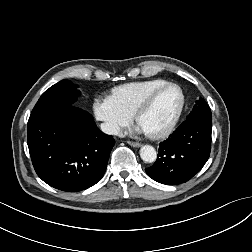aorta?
Masks as SVG:
<instances>
[{"label":"aorta","instance_id":"762f6f07","mask_svg":"<svg viewBox=\"0 0 252 252\" xmlns=\"http://www.w3.org/2000/svg\"><path fill=\"white\" fill-rule=\"evenodd\" d=\"M140 157L146 163H152L157 158V153L154 147L143 145L140 149Z\"/></svg>","mask_w":252,"mask_h":252}]
</instances>
